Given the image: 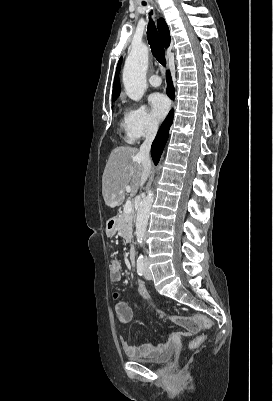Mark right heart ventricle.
Returning <instances> with one entry per match:
<instances>
[{"instance_id":"e07e8e85","label":"right heart ventricle","mask_w":273,"mask_h":401,"mask_svg":"<svg viewBox=\"0 0 273 401\" xmlns=\"http://www.w3.org/2000/svg\"><path fill=\"white\" fill-rule=\"evenodd\" d=\"M122 110V109H121ZM125 113V112H124ZM121 126L122 127H125V121L123 120L122 122H121Z\"/></svg>"}]
</instances>
